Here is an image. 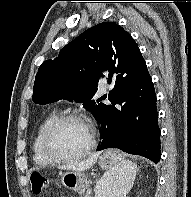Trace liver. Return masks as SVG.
Returning a JSON list of instances; mask_svg holds the SVG:
<instances>
[{
    "label": "liver",
    "mask_w": 191,
    "mask_h": 197,
    "mask_svg": "<svg viewBox=\"0 0 191 197\" xmlns=\"http://www.w3.org/2000/svg\"><path fill=\"white\" fill-rule=\"evenodd\" d=\"M99 155H100V153H95L92 156H90L89 158H87L86 160H83L80 162H74V163L64 165V166H59V168L72 170V171H84L86 169H89L90 167H92L96 163Z\"/></svg>",
    "instance_id": "1"
}]
</instances>
